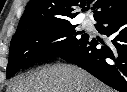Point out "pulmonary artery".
Instances as JSON below:
<instances>
[{
    "label": "pulmonary artery",
    "mask_w": 127,
    "mask_h": 92,
    "mask_svg": "<svg viewBox=\"0 0 127 92\" xmlns=\"http://www.w3.org/2000/svg\"><path fill=\"white\" fill-rule=\"evenodd\" d=\"M82 23H83V26L86 28H89L92 25L91 20L89 18H84Z\"/></svg>",
    "instance_id": "1"
}]
</instances>
